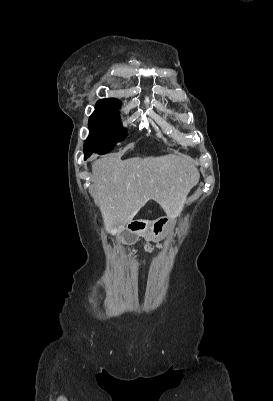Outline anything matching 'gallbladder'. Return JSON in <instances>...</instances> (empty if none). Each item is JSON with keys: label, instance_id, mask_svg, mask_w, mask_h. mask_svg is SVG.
<instances>
[{"label": "gallbladder", "instance_id": "gallbladder-1", "mask_svg": "<svg viewBox=\"0 0 273 401\" xmlns=\"http://www.w3.org/2000/svg\"><path fill=\"white\" fill-rule=\"evenodd\" d=\"M120 235L119 237H121V239H125L126 236V240L124 241L125 245H129V246H134L136 244L135 238L137 237V232L136 231H127L124 227H121L119 229ZM126 232V233H125Z\"/></svg>", "mask_w": 273, "mask_h": 401}]
</instances>
